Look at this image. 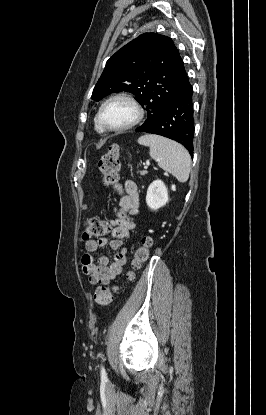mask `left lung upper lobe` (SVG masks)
<instances>
[{
    "label": "left lung upper lobe",
    "instance_id": "left-lung-upper-lobe-1",
    "mask_svg": "<svg viewBox=\"0 0 266 415\" xmlns=\"http://www.w3.org/2000/svg\"><path fill=\"white\" fill-rule=\"evenodd\" d=\"M187 73L171 38L144 33L106 62L92 100L120 91L133 93L147 111L144 127L154 122L186 81Z\"/></svg>",
    "mask_w": 266,
    "mask_h": 415
}]
</instances>
